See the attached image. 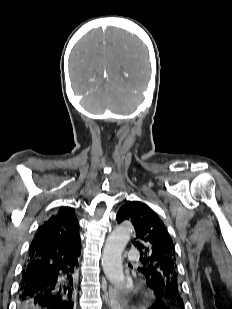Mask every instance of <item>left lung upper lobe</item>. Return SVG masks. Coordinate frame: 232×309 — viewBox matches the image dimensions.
Returning <instances> with one entry per match:
<instances>
[{
  "mask_svg": "<svg viewBox=\"0 0 232 309\" xmlns=\"http://www.w3.org/2000/svg\"><path fill=\"white\" fill-rule=\"evenodd\" d=\"M127 220L136 233L133 245L141 253L142 266L138 271L164 300L183 305L176 252L166 226L150 207L139 201H128L119 209L117 222Z\"/></svg>",
  "mask_w": 232,
  "mask_h": 309,
  "instance_id": "left-lung-upper-lobe-1",
  "label": "left lung upper lobe"
}]
</instances>
